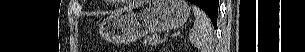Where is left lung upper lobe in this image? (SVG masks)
<instances>
[{"label": "left lung upper lobe", "instance_id": "1", "mask_svg": "<svg viewBox=\"0 0 305 52\" xmlns=\"http://www.w3.org/2000/svg\"><path fill=\"white\" fill-rule=\"evenodd\" d=\"M217 13H218V11H216V12L210 11V10L207 11L208 16L210 17V19L213 23L217 22Z\"/></svg>", "mask_w": 305, "mask_h": 52}]
</instances>
